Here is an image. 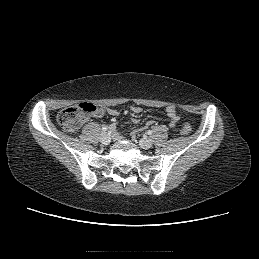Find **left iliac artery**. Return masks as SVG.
<instances>
[{"instance_id": "left-iliac-artery-1", "label": "left iliac artery", "mask_w": 259, "mask_h": 259, "mask_svg": "<svg viewBox=\"0 0 259 259\" xmlns=\"http://www.w3.org/2000/svg\"><path fill=\"white\" fill-rule=\"evenodd\" d=\"M147 134H148V135H151V134H152V131H151V130H148V131H147Z\"/></svg>"}]
</instances>
